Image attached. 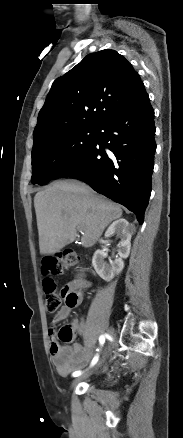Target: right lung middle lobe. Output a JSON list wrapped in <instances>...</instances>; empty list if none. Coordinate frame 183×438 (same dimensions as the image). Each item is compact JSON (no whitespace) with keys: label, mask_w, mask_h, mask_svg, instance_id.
Returning a JSON list of instances; mask_svg holds the SVG:
<instances>
[{"label":"right lung middle lobe","mask_w":183,"mask_h":438,"mask_svg":"<svg viewBox=\"0 0 183 438\" xmlns=\"http://www.w3.org/2000/svg\"><path fill=\"white\" fill-rule=\"evenodd\" d=\"M98 127H76L57 131L34 140L32 182L44 185L95 139Z\"/></svg>","instance_id":"right-lung-middle-lobe-1"}]
</instances>
